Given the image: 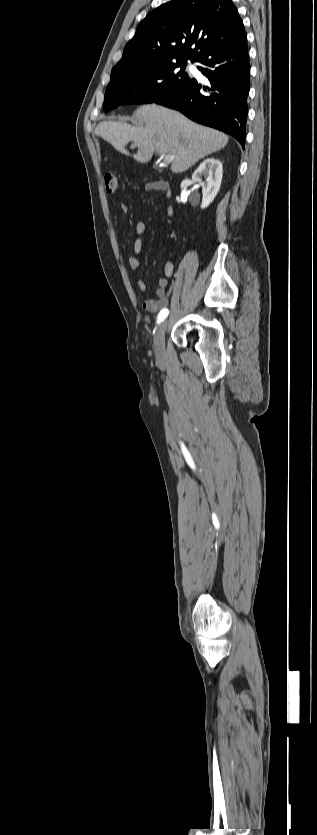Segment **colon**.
<instances>
[{
  "label": "colon",
  "instance_id": "1",
  "mask_svg": "<svg viewBox=\"0 0 317 835\" xmlns=\"http://www.w3.org/2000/svg\"><path fill=\"white\" fill-rule=\"evenodd\" d=\"M107 192L113 193L119 188V179L115 174L109 173L104 179Z\"/></svg>",
  "mask_w": 317,
  "mask_h": 835
}]
</instances>
